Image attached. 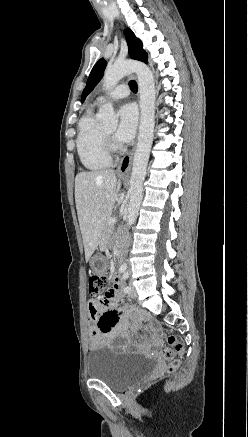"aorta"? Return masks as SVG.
Here are the masks:
<instances>
[{"instance_id":"762f6f07","label":"aorta","mask_w":248,"mask_h":437,"mask_svg":"<svg viewBox=\"0 0 248 437\" xmlns=\"http://www.w3.org/2000/svg\"><path fill=\"white\" fill-rule=\"evenodd\" d=\"M136 73L140 93V126L136 151L130 178V201L128 206L127 226L136 221L143 198V182L154 138L155 127V81L150 68L139 61L126 60L116 62L108 67L103 77L106 89L115 86L123 77ZM97 120L105 126L115 127L118 117L111 103L99 110Z\"/></svg>"}]
</instances>
